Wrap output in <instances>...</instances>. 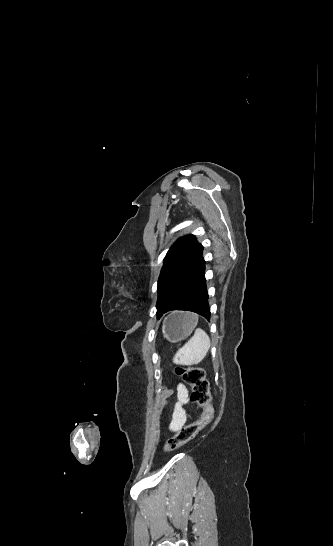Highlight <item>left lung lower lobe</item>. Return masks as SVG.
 <instances>
[{
	"mask_svg": "<svg viewBox=\"0 0 333 546\" xmlns=\"http://www.w3.org/2000/svg\"><path fill=\"white\" fill-rule=\"evenodd\" d=\"M208 301L205 261L201 252L171 283L159 318L171 310H186L195 312L209 321L211 313Z\"/></svg>",
	"mask_w": 333,
	"mask_h": 546,
	"instance_id": "0a47b994",
	"label": "left lung lower lobe"
}]
</instances>
